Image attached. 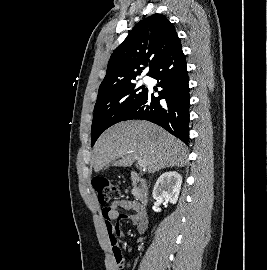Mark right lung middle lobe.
<instances>
[{
    "label": "right lung middle lobe",
    "mask_w": 267,
    "mask_h": 270,
    "mask_svg": "<svg viewBox=\"0 0 267 270\" xmlns=\"http://www.w3.org/2000/svg\"><path fill=\"white\" fill-rule=\"evenodd\" d=\"M147 91V88H136L135 80L99 91L91 127V146L107 128L124 120Z\"/></svg>",
    "instance_id": "obj_1"
}]
</instances>
